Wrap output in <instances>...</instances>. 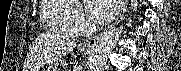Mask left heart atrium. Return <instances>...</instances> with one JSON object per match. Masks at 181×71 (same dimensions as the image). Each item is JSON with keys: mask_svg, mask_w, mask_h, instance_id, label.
<instances>
[{"mask_svg": "<svg viewBox=\"0 0 181 71\" xmlns=\"http://www.w3.org/2000/svg\"><path fill=\"white\" fill-rule=\"evenodd\" d=\"M119 6L117 0H92L88 4V14L94 22L103 24L116 15Z\"/></svg>", "mask_w": 181, "mask_h": 71, "instance_id": "39dd6f15", "label": "left heart atrium"}]
</instances>
